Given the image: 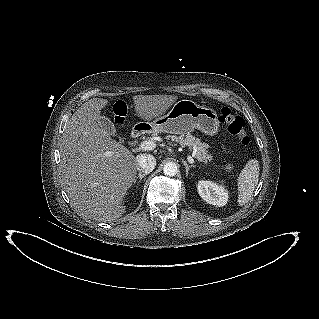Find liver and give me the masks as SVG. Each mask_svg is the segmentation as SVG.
<instances>
[{
    "label": "liver",
    "instance_id": "obj_1",
    "mask_svg": "<svg viewBox=\"0 0 319 319\" xmlns=\"http://www.w3.org/2000/svg\"><path fill=\"white\" fill-rule=\"evenodd\" d=\"M173 95L133 97L135 115L150 121L164 115ZM107 99L93 98L73 114L60 144L61 182L82 217L99 222L120 218L123 199L136 179L137 156L112 139L97 120Z\"/></svg>",
    "mask_w": 319,
    "mask_h": 319
}]
</instances>
